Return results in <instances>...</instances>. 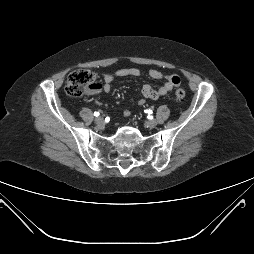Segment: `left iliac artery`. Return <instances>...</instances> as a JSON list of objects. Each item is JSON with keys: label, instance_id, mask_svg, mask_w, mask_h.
Here are the masks:
<instances>
[{"label": "left iliac artery", "instance_id": "44dca946", "mask_svg": "<svg viewBox=\"0 0 254 254\" xmlns=\"http://www.w3.org/2000/svg\"><path fill=\"white\" fill-rule=\"evenodd\" d=\"M145 112L148 113V114H151V113H152L151 110H146ZM148 117H149V116H148Z\"/></svg>", "mask_w": 254, "mask_h": 254}]
</instances>
